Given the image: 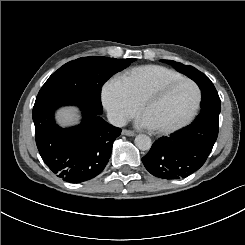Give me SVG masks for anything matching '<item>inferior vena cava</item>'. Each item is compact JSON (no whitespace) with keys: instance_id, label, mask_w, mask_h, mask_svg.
<instances>
[{"instance_id":"obj_1","label":"inferior vena cava","mask_w":245,"mask_h":245,"mask_svg":"<svg viewBox=\"0 0 245 245\" xmlns=\"http://www.w3.org/2000/svg\"><path fill=\"white\" fill-rule=\"evenodd\" d=\"M107 118L112 125L117 127H122L126 124V119L119 112H108Z\"/></svg>"}]
</instances>
